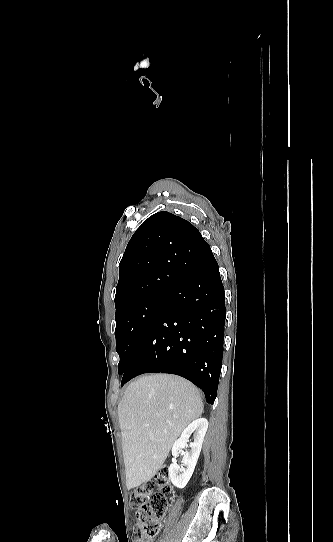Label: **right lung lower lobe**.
I'll return each mask as SVG.
<instances>
[{"label":"right lung lower lobe","mask_w":333,"mask_h":542,"mask_svg":"<svg viewBox=\"0 0 333 542\" xmlns=\"http://www.w3.org/2000/svg\"><path fill=\"white\" fill-rule=\"evenodd\" d=\"M160 259L184 277L168 292L123 373L121 386L143 373L180 375L213 404L223 357L225 294L218 264L207 245L193 252L166 249Z\"/></svg>","instance_id":"obj_1"}]
</instances>
